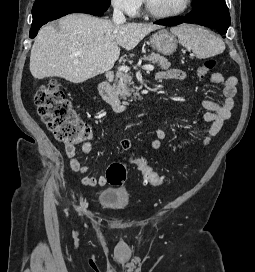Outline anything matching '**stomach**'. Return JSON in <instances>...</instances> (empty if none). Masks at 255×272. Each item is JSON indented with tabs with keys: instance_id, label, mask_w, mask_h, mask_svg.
I'll return each mask as SVG.
<instances>
[{
	"instance_id": "obj_1",
	"label": "stomach",
	"mask_w": 255,
	"mask_h": 272,
	"mask_svg": "<svg viewBox=\"0 0 255 272\" xmlns=\"http://www.w3.org/2000/svg\"><path fill=\"white\" fill-rule=\"evenodd\" d=\"M177 43L175 36L165 29L153 33L150 37L153 49L165 56L172 55L176 51Z\"/></svg>"
}]
</instances>
